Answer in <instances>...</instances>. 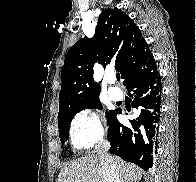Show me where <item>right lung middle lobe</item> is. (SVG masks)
<instances>
[{
    "mask_svg": "<svg viewBox=\"0 0 196 182\" xmlns=\"http://www.w3.org/2000/svg\"><path fill=\"white\" fill-rule=\"evenodd\" d=\"M86 108H98L101 109L102 105L99 101V97H96L94 99H91L87 102H85L82 105L73 107L69 109L68 111L64 112L63 114L58 116V128H59V137L61 139V142L64 143L69 136V127L70 123L72 121V118L81 110ZM115 113V110H111L109 112H106V117L108 119V125L110 123L111 118L113 117Z\"/></svg>",
    "mask_w": 196,
    "mask_h": 182,
    "instance_id": "right-lung-middle-lobe-1",
    "label": "right lung middle lobe"
}]
</instances>
